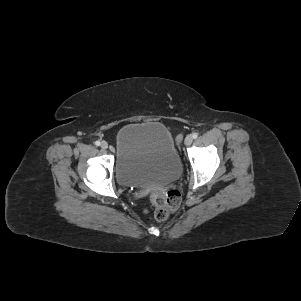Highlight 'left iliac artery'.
<instances>
[{"mask_svg":"<svg viewBox=\"0 0 301 301\" xmlns=\"http://www.w3.org/2000/svg\"><path fill=\"white\" fill-rule=\"evenodd\" d=\"M192 137H193V139H196L198 137V134L197 133H193Z\"/></svg>","mask_w":301,"mask_h":301,"instance_id":"44dca946","label":"left iliac artery"}]
</instances>
